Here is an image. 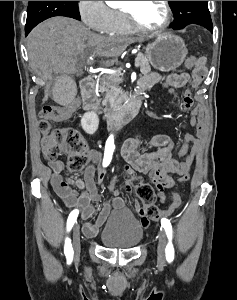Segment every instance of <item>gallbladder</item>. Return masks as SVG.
<instances>
[{
	"label": "gallbladder",
	"mask_w": 237,
	"mask_h": 300,
	"mask_svg": "<svg viewBox=\"0 0 237 300\" xmlns=\"http://www.w3.org/2000/svg\"><path fill=\"white\" fill-rule=\"evenodd\" d=\"M56 81L55 87L51 89L55 105H71L76 94L74 76H57Z\"/></svg>",
	"instance_id": "1"
}]
</instances>
